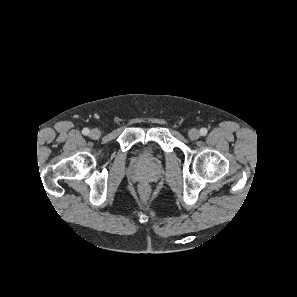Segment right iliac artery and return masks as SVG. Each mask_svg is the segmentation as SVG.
<instances>
[{
    "label": "right iliac artery",
    "mask_w": 297,
    "mask_h": 297,
    "mask_svg": "<svg viewBox=\"0 0 297 297\" xmlns=\"http://www.w3.org/2000/svg\"><path fill=\"white\" fill-rule=\"evenodd\" d=\"M82 133H83L84 135H88V134H89V129H88V128H84V129L82 130Z\"/></svg>",
    "instance_id": "1"
}]
</instances>
